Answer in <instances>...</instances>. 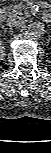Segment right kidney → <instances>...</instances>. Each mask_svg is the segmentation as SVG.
<instances>
[{"instance_id": "right-kidney-1", "label": "right kidney", "mask_w": 51, "mask_h": 153, "mask_svg": "<svg viewBox=\"0 0 51 153\" xmlns=\"http://www.w3.org/2000/svg\"><path fill=\"white\" fill-rule=\"evenodd\" d=\"M3 49H4V47H1V53H3Z\"/></svg>"}]
</instances>
